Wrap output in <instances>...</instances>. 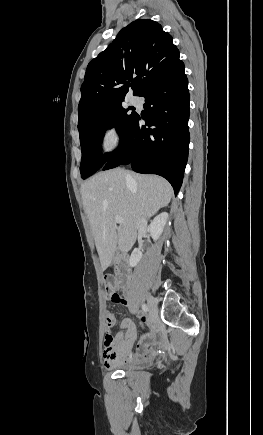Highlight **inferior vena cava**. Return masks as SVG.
Returning a JSON list of instances; mask_svg holds the SVG:
<instances>
[{"label":"inferior vena cava","instance_id":"602c4592","mask_svg":"<svg viewBox=\"0 0 263 435\" xmlns=\"http://www.w3.org/2000/svg\"><path fill=\"white\" fill-rule=\"evenodd\" d=\"M126 179H127V181H129L130 176H127ZM145 221H146V219L144 217H140L138 220V226L140 227Z\"/></svg>","mask_w":263,"mask_h":435}]
</instances>
